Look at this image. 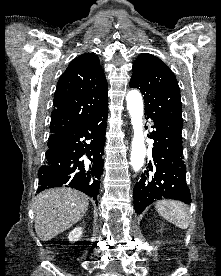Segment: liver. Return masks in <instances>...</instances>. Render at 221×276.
I'll use <instances>...</instances> for the list:
<instances>
[{"label": "liver", "instance_id": "6515ba94", "mask_svg": "<svg viewBox=\"0 0 221 276\" xmlns=\"http://www.w3.org/2000/svg\"><path fill=\"white\" fill-rule=\"evenodd\" d=\"M88 197L75 189H48L35 198V231L48 241L76 224L86 213Z\"/></svg>", "mask_w": 221, "mask_h": 276}]
</instances>
